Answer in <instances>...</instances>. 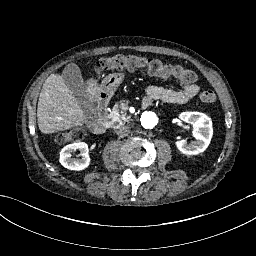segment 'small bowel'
I'll return each instance as SVG.
<instances>
[{"instance_id":"1","label":"small bowel","mask_w":256,"mask_h":256,"mask_svg":"<svg viewBox=\"0 0 256 256\" xmlns=\"http://www.w3.org/2000/svg\"><path fill=\"white\" fill-rule=\"evenodd\" d=\"M148 100H161L172 104H184L194 99L199 87L195 83H182V89L175 90L156 85H150L145 88Z\"/></svg>"}]
</instances>
